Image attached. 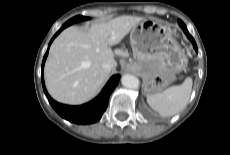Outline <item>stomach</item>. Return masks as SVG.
I'll return each mask as SVG.
<instances>
[{"label":"stomach","instance_id":"stomach-1","mask_svg":"<svg viewBox=\"0 0 230 155\" xmlns=\"http://www.w3.org/2000/svg\"><path fill=\"white\" fill-rule=\"evenodd\" d=\"M138 70L147 95L161 92L187 65V55L174 39L171 27L158 19L138 23L130 33Z\"/></svg>","mask_w":230,"mask_h":155}]
</instances>
